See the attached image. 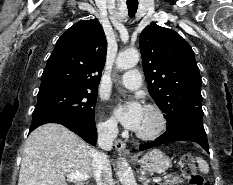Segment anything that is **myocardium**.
<instances>
[{
  "label": "myocardium",
  "instance_id": "1",
  "mask_svg": "<svg viewBox=\"0 0 233 185\" xmlns=\"http://www.w3.org/2000/svg\"><path fill=\"white\" fill-rule=\"evenodd\" d=\"M144 109L153 112L157 116L158 124L156 128L149 133H140L136 131L135 135L141 140H154L161 136L162 133L165 131L167 126V118L164 111L157 105L147 104Z\"/></svg>",
  "mask_w": 233,
  "mask_h": 185
}]
</instances>
